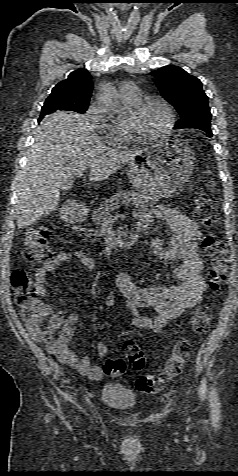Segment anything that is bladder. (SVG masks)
Here are the masks:
<instances>
[{
	"label": "bladder",
	"instance_id": "obj_1",
	"mask_svg": "<svg viewBox=\"0 0 238 476\" xmlns=\"http://www.w3.org/2000/svg\"><path fill=\"white\" fill-rule=\"evenodd\" d=\"M101 399L107 406L126 410L132 408L136 403L135 393L119 384H107L101 392Z\"/></svg>",
	"mask_w": 238,
	"mask_h": 476
}]
</instances>
